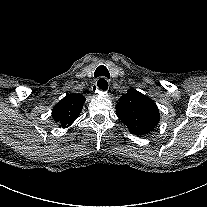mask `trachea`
<instances>
[{
    "label": "trachea",
    "instance_id": "obj_1",
    "mask_svg": "<svg viewBox=\"0 0 207 207\" xmlns=\"http://www.w3.org/2000/svg\"><path fill=\"white\" fill-rule=\"evenodd\" d=\"M95 77H99V76H105L107 78H109V71L105 66H99L95 73H94ZM97 85L100 89L102 90H107L108 88V83H101L100 80L97 82Z\"/></svg>",
    "mask_w": 207,
    "mask_h": 207
}]
</instances>
